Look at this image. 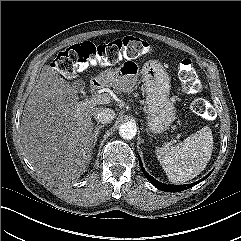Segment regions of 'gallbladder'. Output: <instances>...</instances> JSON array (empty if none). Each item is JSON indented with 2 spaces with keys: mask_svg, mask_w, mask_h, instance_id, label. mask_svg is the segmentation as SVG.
Instances as JSON below:
<instances>
[{
  "mask_svg": "<svg viewBox=\"0 0 241 241\" xmlns=\"http://www.w3.org/2000/svg\"><path fill=\"white\" fill-rule=\"evenodd\" d=\"M75 87L78 92H81L85 87V83L82 80H77L75 81Z\"/></svg>",
  "mask_w": 241,
  "mask_h": 241,
  "instance_id": "1",
  "label": "gallbladder"
}]
</instances>
